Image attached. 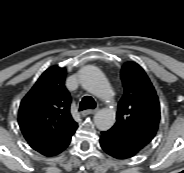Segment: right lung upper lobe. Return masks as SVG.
Listing matches in <instances>:
<instances>
[{
	"label": "right lung upper lobe",
	"instance_id": "right-lung-upper-lobe-1",
	"mask_svg": "<svg viewBox=\"0 0 184 173\" xmlns=\"http://www.w3.org/2000/svg\"><path fill=\"white\" fill-rule=\"evenodd\" d=\"M65 76L64 68H48L20 104V129L29 145L42 155L56 150L77 129Z\"/></svg>",
	"mask_w": 184,
	"mask_h": 173
}]
</instances>
